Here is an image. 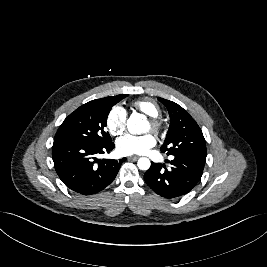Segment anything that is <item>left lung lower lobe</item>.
<instances>
[{
    "mask_svg": "<svg viewBox=\"0 0 267 267\" xmlns=\"http://www.w3.org/2000/svg\"><path fill=\"white\" fill-rule=\"evenodd\" d=\"M168 163L169 168L161 163H152L144 175L146 184L168 199L190 192L200 181L205 166V161L186 156H174Z\"/></svg>",
    "mask_w": 267,
    "mask_h": 267,
    "instance_id": "left-lung-lower-lobe-1",
    "label": "left lung lower lobe"
}]
</instances>
